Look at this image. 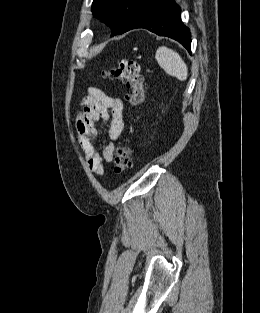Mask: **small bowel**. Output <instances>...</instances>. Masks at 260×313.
<instances>
[{"mask_svg":"<svg viewBox=\"0 0 260 313\" xmlns=\"http://www.w3.org/2000/svg\"><path fill=\"white\" fill-rule=\"evenodd\" d=\"M100 119L108 122L109 137L112 140L119 139L124 129L123 102L117 97L106 95L99 88L89 87L76 118V129L86 165L98 176L104 174V161L113 160L115 149L113 143H110L103 149L102 156L97 151L96 123Z\"/></svg>","mask_w":260,"mask_h":313,"instance_id":"small-bowel-1","label":"small bowel"}]
</instances>
